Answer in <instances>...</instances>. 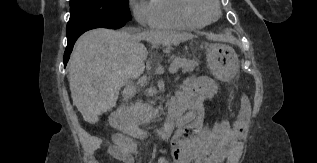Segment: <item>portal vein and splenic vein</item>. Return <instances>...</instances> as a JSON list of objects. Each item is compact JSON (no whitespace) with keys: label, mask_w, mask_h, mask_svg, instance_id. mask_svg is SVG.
Instances as JSON below:
<instances>
[{"label":"portal vein and splenic vein","mask_w":317,"mask_h":163,"mask_svg":"<svg viewBox=\"0 0 317 163\" xmlns=\"http://www.w3.org/2000/svg\"><path fill=\"white\" fill-rule=\"evenodd\" d=\"M170 71L174 73V72H176V71H177V69H176V68H174V67H170Z\"/></svg>","instance_id":"obj_1"}]
</instances>
